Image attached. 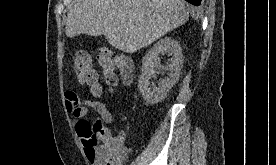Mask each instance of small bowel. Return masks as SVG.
Returning <instances> with one entry per match:
<instances>
[{
    "label": "small bowel",
    "mask_w": 276,
    "mask_h": 165,
    "mask_svg": "<svg viewBox=\"0 0 276 165\" xmlns=\"http://www.w3.org/2000/svg\"><path fill=\"white\" fill-rule=\"evenodd\" d=\"M65 105L73 118L74 126L91 165H123L127 154L124 146L127 136L124 131L114 135L107 126L113 123V116L105 104L100 101L81 100L77 93L68 91L65 93ZM89 109L96 111L99 116L94 123L99 130L97 141L93 146L87 144L79 131V122L86 118Z\"/></svg>",
    "instance_id": "small-bowel-1"
}]
</instances>
